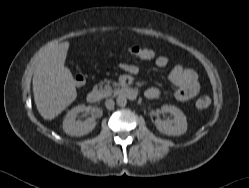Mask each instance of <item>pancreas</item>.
<instances>
[{"label": "pancreas", "mask_w": 249, "mask_h": 188, "mask_svg": "<svg viewBox=\"0 0 249 188\" xmlns=\"http://www.w3.org/2000/svg\"><path fill=\"white\" fill-rule=\"evenodd\" d=\"M112 85L114 87L118 86V84L116 82H112ZM99 89H100V92L103 95V97H109L115 92V90H113L112 87H111V82L110 81H107V83L105 85H103V82H100L99 83Z\"/></svg>", "instance_id": "cf45deb5"}]
</instances>
